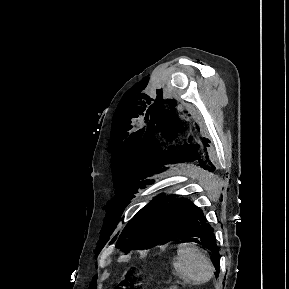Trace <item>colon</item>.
<instances>
[{"mask_svg": "<svg viewBox=\"0 0 289 289\" xmlns=\"http://www.w3.org/2000/svg\"><path fill=\"white\" fill-rule=\"evenodd\" d=\"M141 288L142 284L134 276L122 281L116 287V289H131V288Z\"/></svg>", "mask_w": 289, "mask_h": 289, "instance_id": "colon-1", "label": "colon"}]
</instances>
